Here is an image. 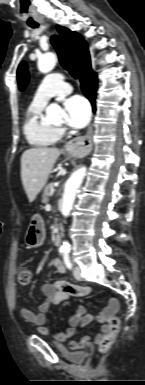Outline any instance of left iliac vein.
Returning <instances> with one entry per match:
<instances>
[{"label":"left iliac vein","instance_id":"4c4485c4","mask_svg":"<svg viewBox=\"0 0 145 385\" xmlns=\"http://www.w3.org/2000/svg\"><path fill=\"white\" fill-rule=\"evenodd\" d=\"M73 275L75 279L77 280H82V275H81V268L79 266H75L73 269Z\"/></svg>","mask_w":145,"mask_h":385}]
</instances>
